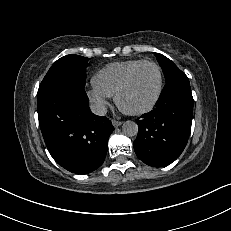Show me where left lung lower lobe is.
<instances>
[{
	"label": "left lung lower lobe",
	"mask_w": 231,
	"mask_h": 231,
	"mask_svg": "<svg viewBox=\"0 0 231 231\" xmlns=\"http://www.w3.org/2000/svg\"><path fill=\"white\" fill-rule=\"evenodd\" d=\"M193 97L188 77L182 72L166 81L156 108L138 123L134 150L152 167L167 166L183 152L191 129Z\"/></svg>",
	"instance_id": "obj_1"
}]
</instances>
